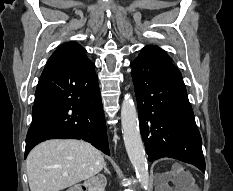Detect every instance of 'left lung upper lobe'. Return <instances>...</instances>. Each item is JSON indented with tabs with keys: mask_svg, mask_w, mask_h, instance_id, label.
I'll return each instance as SVG.
<instances>
[{
	"mask_svg": "<svg viewBox=\"0 0 233 191\" xmlns=\"http://www.w3.org/2000/svg\"><path fill=\"white\" fill-rule=\"evenodd\" d=\"M139 56H157L164 58L168 61H171L170 57L165 53L164 50L156 47V46H146L142 49V52Z\"/></svg>",
	"mask_w": 233,
	"mask_h": 191,
	"instance_id": "5c2ea615",
	"label": "left lung upper lobe"
}]
</instances>
